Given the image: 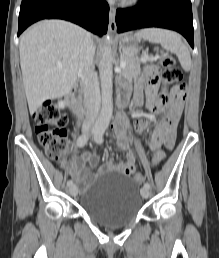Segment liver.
<instances>
[{"mask_svg": "<svg viewBox=\"0 0 219 258\" xmlns=\"http://www.w3.org/2000/svg\"><path fill=\"white\" fill-rule=\"evenodd\" d=\"M86 35L83 28L62 20L41 21L21 35L20 65L30 112L71 91Z\"/></svg>", "mask_w": 219, "mask_h": 258, "instance_id": "liver-1", "label": "liver"}]
</instances>
